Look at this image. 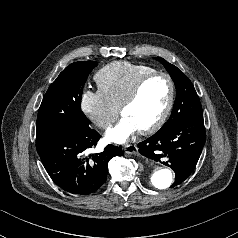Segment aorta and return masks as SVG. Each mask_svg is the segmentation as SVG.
<instances>
[{
	"label": "aorta",
	"mask_w": 238,
	"mask_h": 238,
	"mask_svg": "<svg viewBox=\"0 0 238 238\" xmlns=\"http://www.w3.org/2000/svg\"><path fill=\"white\" fill-rule=\"evenodd\" d=\"M173 182V173L167 168H162L153 165L151 172L152 185L160 190L167 189Z\"/></svg>",
	"instance_id": "1"
}]
</instances>
